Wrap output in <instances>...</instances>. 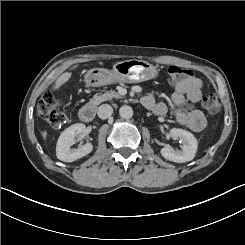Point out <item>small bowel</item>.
I'll use <instances>...</instances> for the list:
<instances>
[{
    "mask_svg": "<svg viewBox=\"0 0 245 245\" xmlns=\"http://www.w3.org/2000/svg\"><path fill=\"white\" fill-rule=\"evenodd\" d=\"M201 98L202 81L193 76L177 83L171 97L177 122L194 132L203 130L207 124L204 114L195 106ZM142 103L159 116L168 112V106L163 102H156L151 93L142 98Z\"/></svg>",
    "mask_w": 245,
    "mask_h": 245,
    "instance_id": "obj_1",
    "label": "small bowel"
}]
</instances>
